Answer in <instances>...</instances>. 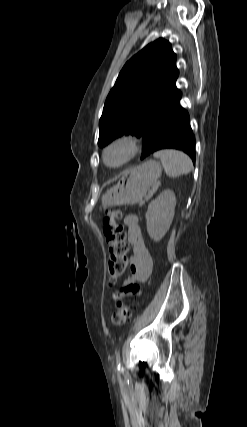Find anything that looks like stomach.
Segmentation results:
<instances>
[{"instance_id":"stomach-1","label":"stomach","mask_w":247,"mask_h":427,"mask_svg":"<svg viewBox=\"0 0 247 427\" xmlns=\"http://www.w3.org/2000/svg\"><path fill=\"white\" fill-rule=\"evenodd\" d=\"M161 165L148 160L136 167L125 170L118 183L102 196V206L134 205L141 202L150 187L161 175Z\"/></svg>"}]
</instances>
